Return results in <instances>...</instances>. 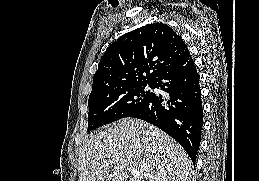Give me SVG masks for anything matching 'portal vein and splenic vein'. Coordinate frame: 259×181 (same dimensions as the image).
Segmentation results:
<instances>
[{"label": "portal vein and splenic vein", "instance_id": "18ae733b", "mask_svg": "<svg viewBox=\"0 0 259 181\" xmlns=\"http://www.w3.org/2000/svg\"><path fill=\"white\" fill-rule=\"evenodd\" d=\"M129 173L131 175H136V174H138V171L136 169H134V168H131V169H129Z\"/></svg>", "mask_w": 259, "mask_h": 181}]
</instances>
